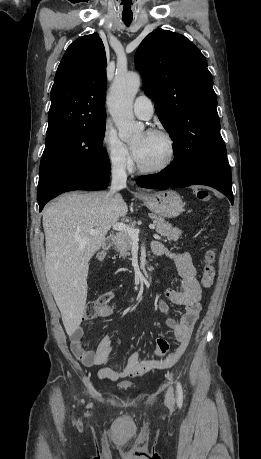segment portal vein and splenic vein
Listing matches in <instances>:
<instances>
[{
	"label": "portal vein and splenic vein",
	"instance_id": "portal-vein-and-splenic-vein-1",
	"mask_svg": "<svg viewBox=\"0 0 261 459\" xmlns=\"http://www.w3.org/2000/svg\"><path fill=\"white\" fill-rule=\"evenodd\" d=\"M150 229H155V224H150L149 225ZM113 229L117 231H123L126 232L132 239H138L139 236V229L132 228L124 223H115L113 225ZM91 235L96 234V230H90L89 232ZM79 244L81 246L85 245L87 243V238H78L77 239Z\"/></svg>",
	"mask_w": 261,
	"mask_h": 459
}]
</instances>
